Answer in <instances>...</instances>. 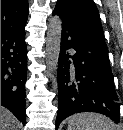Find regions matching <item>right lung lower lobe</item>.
Instances as JSON below:
<instances>
[{"instance_id":"98d812e1","label":"right lung lower lobe","mask_w":123,"mask_h":130,"mask_svg":"<svg viewBox=\"0 0 123 130\" xmlns=\"http://www.w3.org/2000/svg\"><path fill=\"white\" fill-rule=\"evenodd\" d=\"M27 48L24 28L1 32V105L25 124Z\"/></svg>"}]
</instances>
